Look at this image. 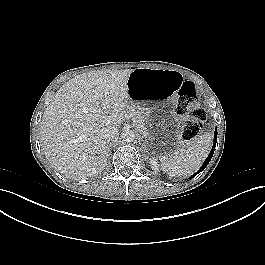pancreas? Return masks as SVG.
<instances>
[{"instance_id":"pancreas-1","label":"pancreas","mask_w":265,"mask_h":265,"mask_svg":"<svg viewBox=\"0 0 265 265\" xmlns=\"http://www.w3.org/2000/svg\"><path fill=\"white\" fill-rule=\"evenodd\" d=\"M134 119L136 120L135 125L143 132L145 130L143 121H144V116L140 111H135L134 112Z\"/></svg>"}]
</instances>
